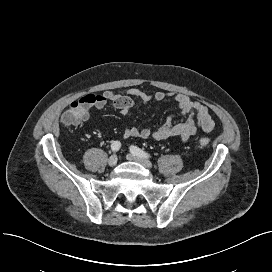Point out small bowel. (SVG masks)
<instances>
[{
  "label": "small bowel",
  "instance_id": "obj_1",
  "mask_svg": "<svg viewBox=\"0 0 272 272\" xmlns=\"http://www.w3.org/2000/svg\"><path fill=\"white\" fill-rule=\"evenodd\" d=\"M167 98H171L181 113L187 116L184 122L174 123L173 118L168 117L160 127L154 130L131 126L123 131V137L151 138L157 141L167 138H178L185 142L198 129L204 132H211L214 129L215 122L205 104L194 101L181 93L157 91L154 94H150L137 88L125 91L106 90L99 94H86L70 105L69 109L62 116L61 121L67 126H78L90 118L93 109H101L107 102H111L122 115H127L130 109L137 104L146 105L151 100L163 101Z\"/></svg>",
  "mask_w": 272,
  "mask_h": 272
}]
</instances>
